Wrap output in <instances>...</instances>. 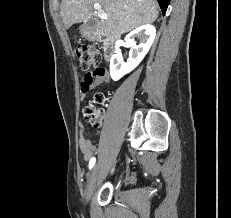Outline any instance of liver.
<instances>
[{
  "label": "liver",
  "instance_id": "6515ba94",
  "mask_svg": "<svg viewBox=\"0 0 231 218\" xmlns=\"http://www.w3.org/2000/svg\"><path fill=\"white\" fill-rule=\"evenodd\" d=\"M95 3H99L107 15V19L98 22L99 32L114 39L153 23L159 14L156 0H62L60 14L65 28L87 21Z\"/></svg>",
  "mask_w": 231,
  "mask_h": 218
}]
</instances>
